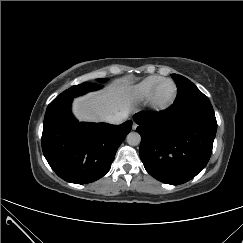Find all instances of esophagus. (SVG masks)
I'll return each mask as SVG.
<instances>
[{"instance_id":"esophagus-1","label":"esophagus","mask_w":243,"mask_h":243,"mask_svg":"<svg viewBox=\"0 0 243 243\" xmlns=\"http://www.w3.org/2000/svg\"><path fill=\"white\" fill-rule=\"evenodd\" d=\"M137 126H138V124L135 121H133L132 129L135 130L137 128Z\"/></svg>"}]
</instances>
